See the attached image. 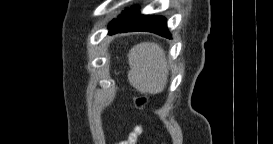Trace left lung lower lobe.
<instances>
[{
	"instance_id": "0a47b994",
	"label": "left lung lower lobe",
	"mask_w": 273,
	"mask_h": 144,
	"mask_svg": "<svg viewBox=\"0 0 273 144\" xmlns=\"http://www.w3.org/2000/svg\"><path fill=\"white\" fill-rule=\"evenodd\" d=\"M149 31L163 37L171 38L166 26V19L162 16L141 15L138 6L125 10L118 20H113L109 27V34Z\"/></svg>"
}]
</instances>
